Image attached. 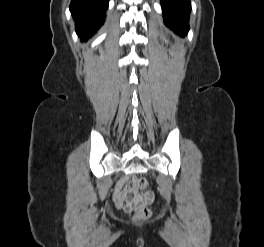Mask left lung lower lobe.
<instances>
[{"instance_id":"0a47b994","label":"left lung lower lobe","mask_w":264,"mask_h":247,"mask_svg":"<svg viewBox=\"0 0 264 247\" xmlns=\"http://www.w3.org/2000/svg\"><path fill=\"white\" fill-rule=\"evenodd\" d=\"M165 25L183 37L189 29V0H160Z\"/></svg>"}]
</instances>
